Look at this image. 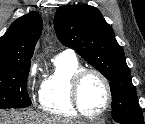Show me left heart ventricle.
<instances>
[{
    "instance_id": "left-heart-ventricle-1",
    "label": "left heart ventricle",
    "mask_w": 145,
    "mask_h": 124,
    "mask_svg": "<svg viewBox=\"0 0 145 124\" xmlns=\"http://www.w3.org/2000/svg\"><path fill=\"white\" fill-rule=\"evenodd\" d=\"M107 94L103 83L95 75H89L81 86V104L85 112L94 114L101 111Z\"/></svg>"
}]
</instances>
